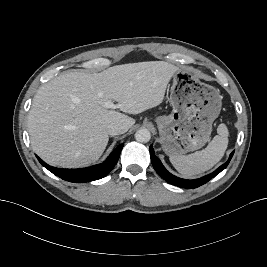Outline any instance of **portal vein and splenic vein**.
<instances>
[{
	"label": "portal vein and splenic vein",
	"mask_w": 267,
	"mask_h": 267,
	"mask_svg": "<svg viewBox=\"0 0 267 267\" xmlns=\"http://www.w3.org/2000/svg\"><path fill=\"white\" fill-rule=\"evenodd\" d=\"M104 106H105L106 108H116V106L114 105V103H113L112 101H106V102L104 103Z\"/></svg>",
	"instance_id": "1"
}]
</instances>
